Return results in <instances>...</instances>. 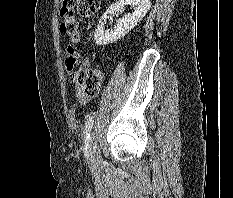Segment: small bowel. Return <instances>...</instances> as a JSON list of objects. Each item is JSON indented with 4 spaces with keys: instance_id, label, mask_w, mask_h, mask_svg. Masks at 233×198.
I'll list each match as a JSON object with an SVG mask.
<instances>
[{
    "instance_id": "small-bowel-1",
    "label": "small bowel",
    "mask_w": 233,
    "mask_h": 198,
    "mask_svg": "<svg viewBox=\"0 0 233 198\" xmlns=\"http://www.w3.org/2000/svg\"><path fill=\"white\" fill-rule=\"evenodd\" d=\"M77 98L81 104H86L88 101H90V99L92 98V95H87L83 93L82 91H79L77 93Z\"/></svg>"
}]
</instances>
